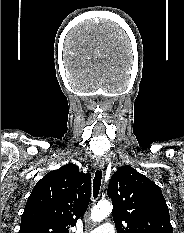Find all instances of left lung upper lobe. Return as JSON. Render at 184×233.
Returning <instances> with one entry per match:
<instances>
[{
	"label": "left lung upper lobe",
	"instance_id": "1",
	"mask_svg": "<svg viewBox=\"0 0 184 233\" xmlns=\"http://www.w3.org/2000/svg\"><path fill=\"white\" fill-rule=\"evenodd\" d=\"M107 194L117 233H173L160 187L131 166L112 175Z\"/></svg>",
	"mask_w": 184,
	"mask_h": 233
}]
</instances>
